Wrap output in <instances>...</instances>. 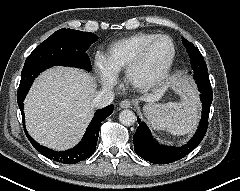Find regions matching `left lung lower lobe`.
<instances>
[{
    "mask_svg": "<svg viewBox=\"0 0 240 191\" xmlns=\"http://www.w3.org/2000/svg\"><path fill=\"white\" fill-rule=\"evenodd\" d=\"M193 76L201 93L200 99L202 102V117L196 133L187 144L180 147L160 145L151 135L147 125L137 118L139 127L133 136L134 150L143 159L156 164L171 163L188 155L203 140L208 128L213 93L207 72L197 71L194 72Z\"/></svg>",
    "mask_w": 240,
    "mask_h": 191,
    "instance_id": "obj_1",
    "label": "left lung lower lobe"
}]
</instances>
